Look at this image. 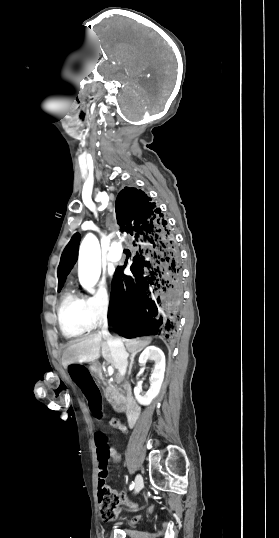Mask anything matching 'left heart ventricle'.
<instances>
[{"label": "left heart ventricle", "mask_w": 279, "mask_h": 538, "mask_svg": "<svg viewBox=\"0 0 279 538\" xmlns=\"http://www.w3.org/2000/svg\"><path fill=\"white\" fill-rule=\"evenodd\" d=\"M68 208L71 211H73V210L77 211V210H82L84 207H68ZM75 222H76L75 220L70 219V226H73L75 224Z\"/></svg>", "instance_id": "left-heart-ventricle-1"}]
</instances>
